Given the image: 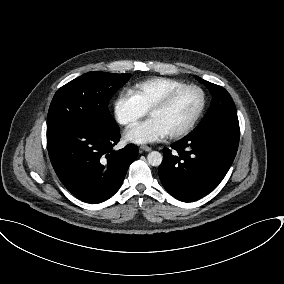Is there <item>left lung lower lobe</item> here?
<instances>
[{"mask_svg":"<svg viewBox=\"0 0 284 284\" xmlns=\"http://www.w3.org/2000/svg\"><path fill=\"white\" fill-rule=\"evenodd\" d=\"M239 123H223L191 134L163 150L160 181L183 202L210 193L228 172L238 149Z\"/></svg>","mask_w":284,"mask_h":284,"instance_id":"1","label":"left lung lower lobe"}]
</instances>
